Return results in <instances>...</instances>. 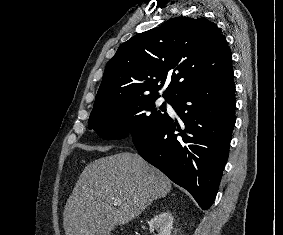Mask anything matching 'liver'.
Here are the masks:
<instances>
[{
	"instance_id": "6515ba94",
	"label": "liver",
	"mask_w": 283,
	"mask_h": 235,
	"mask_svg": "<svg viewBox=\"0 0 283 235\" xmlns=\"http://www.w3.org/2000/svg\"><path fill=\"white\" fill-rule=\"evenodd\" d=\"M170 190L171 181L138 154L97 159L84 168L67 200L65 235H110Z\"/></svg>"
}]
</instances>
